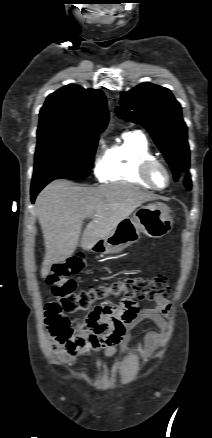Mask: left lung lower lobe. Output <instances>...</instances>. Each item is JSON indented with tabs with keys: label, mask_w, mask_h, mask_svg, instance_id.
<instances>
[{
	"label": "left lung lower lobe",
	"mask_w": 212,
	"mask_h": 438,
	"mask_svg": "<svg viewBox=\"0 0 212 438\" xmlns=\"http://www.w3.org/2000/svg\"><path fill=\"white\" fill-rule=\"evenodd\" d=\"M185 185L187 186V188L190 189L191 187V179H190V175L187 173L186 177H185Z\"/></svg>",
	"instance_id": "1"
}]
</instances>
